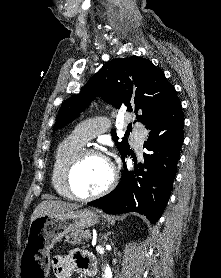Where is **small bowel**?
<instances>
[{"instance_id": "c3829d8e", "label": "small bowel", "mask_w": 221, "mask_h": 278, "mask_svg": "<svg viewBox=\"0 0 221 278\" xmlns=\"http://www.w3.org/2000/svg\"><path fill=\"white\" fill-rule=\"evenodd\" d=\"M95 266L91 255L74 250L64 256H56L53 259V272L56 278H69L75 269L86 272Z\"/></svg>"}]
</instances>
